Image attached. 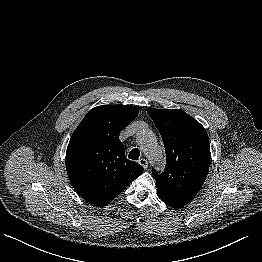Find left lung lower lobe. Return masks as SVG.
Listing matches in <instances>:
<instances>
[{
  "label": "left lung lower lobe",
  "instance_id": "0a47b994",
  "mask_svg": "<svg viewBox=\"0 0 262 262\" xmlns=\"http://www.w3.org/2000/svg\"><path fill=\"white\" fill-rule=\"evenodd\" d=\"M164 203L169 205V206H171L172 208H181V207H183V206H178V205H175V204H172V203H166V202H164Z\"/></svg>",
  "mask_w": 262,
  "mask_h": 262
}]
</instances>
